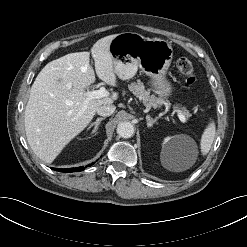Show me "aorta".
<instances>
[{
    "instance_id": "762f6f07",
    "label": "aorta",
    "mask_w": 247,
    "mask_h": 247,
    "mask_svg": "<svg viewBox=\"0 0 247 247\" xmlns=\"http://www.w3.org/2000/svg\"><path fill=\"white\" fill-rule=\"evenodd\" d=\"M134 133V125L131 122H120L117 126V134L122 138H130Z\"/></svg>"
}]
</instances>
